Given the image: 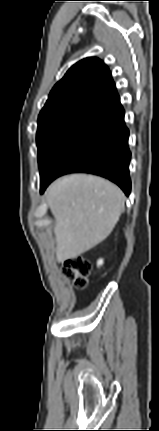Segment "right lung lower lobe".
Instances as JSON below:
<instances>
[{
	"mask_svg": "<svg viewBox=\"0 0 159 431\" xmlns=\"http://www.w3.org/2000/svg\"><path fill=\"white\" fill-rule=\"evenodd\" d=\"M128 137L121 105L86 121L66 136L47 160L40 173L41 193L63 174L86 172L111 180L128 196Z\"/></svg>",
	"mask_w": 159,
	"mask_h": 431,
	"instance_id": "right-lung-lower-lobe-1",
	"label": "right lung lower lobe"
}]
</instances>
